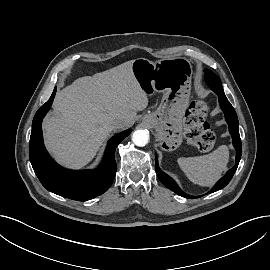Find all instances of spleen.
Returning <instances> with one entry per match:
<instances>
[{
    "instance_id": "spleen-1",
    "label": "spleen",
    "mask_w": 270,
    "mask_h": 270,
    "mask_svg": "<svg viewBox=\"0 0 270 270\" xmlns=\"http://www.w3.org/2000/svg\"><path fill=\"white\" fill-rule=\"evenodd\" d=\"M229 161L227 146H219L208 155L180 157L178 164L187 178L200 186H212L226 170Z\"/></svg>"
}]
</instances>
